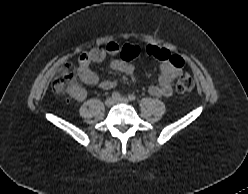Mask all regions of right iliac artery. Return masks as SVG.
<instances>
[{
    "mask_svg": "<svg viewBox=\"0 0 248 194\" xmlns=\"http://www.w3.org/2000/svg\"><path fill=\"white\" fill-rule=\"evenodd\" d=\"M121 97V95L118 93V92H113L112 93V98L114 99V100H117V99H119Z\"/></svg>",
    "mask_w": 248,
    "mask_h": 194,
    "instance_id": "1",
    "label": "right iliac artery"
}]
</instances>
